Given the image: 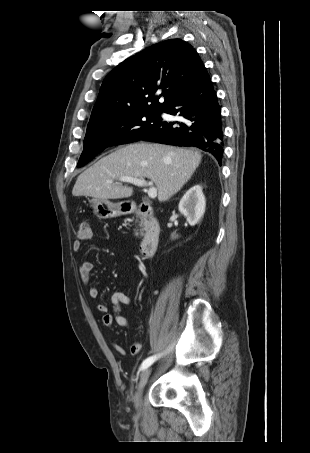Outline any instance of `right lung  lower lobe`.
Here are the masks:
<instances>
[{
	"mask_svg": "<svg viewBox=\"0 0 310 453\" xmlns=\"http://www.w3.org/2000/svg\"><path fill=\"white\" fill-rule=\"evenodd\" d=\"M178 121H160L140 140L194 146L211 153L221 165L223 133L221 108L204 67L198 78L162 109Z\"/></svg>",
	"mask_w": 310,
	"mask_h": 453,
	"instance_id": "right-lung-lower-lobe-1",
	"label": "right lung lower lobe"
}]
</instances>
